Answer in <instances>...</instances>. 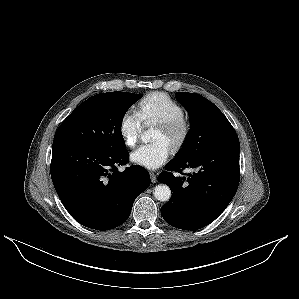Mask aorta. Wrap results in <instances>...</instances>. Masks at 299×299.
Listing matches in <instances>:
<instances>
[{"label":"aorta","mask_w":299,"mask_h":299,"mask_svg":"<svg viewBox=\"0 0 299 299\" xmlns=\"http://www.w3.org/2000/svg\"><path fill=\"white\" fill-rule=\"evenodd\" d=\"M142 140L144 142H149L151 140V130H147L143 133ZM154 196L158 201L166 202L171 197V190L169 186L165 184H160L155 187Z\"/></svg>","instance_id":"aorta-1"}]
</instances>
